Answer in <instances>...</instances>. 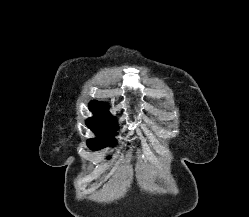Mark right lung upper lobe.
Instances as JSON below:
<instances>
[{
	"label": "right lung upper lobe",
	"mask_w": 249,
	"mask_h": 217,
	"mask_svg": "<svg viewBox=\"0 0 249 217\" xmlns=\"http://www.w3.org/2000/svg\"><path fill=\"white\" fill-rule=\"evenodd\" d=\"M89 109L97 115L103 116V117H107L110 119H114L115 118L112 116V114L108 111V107L107 104L104 102H99V101H91L89 103Z\"/></svg>",
	"instance_id": "1"
}]
</instances>
